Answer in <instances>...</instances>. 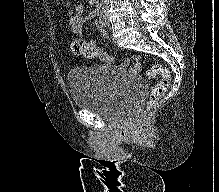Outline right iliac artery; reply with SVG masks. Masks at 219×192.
Here are the masks:
<instances>
[{"label":"right iliac artery","mask_w":219,"mask_h":192,"mask_svg":"<svg viewBox=\"0 0 219 192\" xmlns=\"http://www.w3.org/2000/svg\"><path fill=\"white\" fill-rule=\"evenodd\" d=\"M95 13L97 16H101L103 13V6L102 5H98L95 9Z\"/></svg>","instance_id":"obj_1"}]
</instances>
